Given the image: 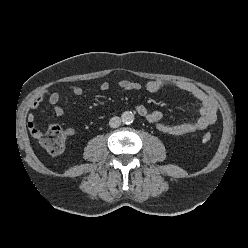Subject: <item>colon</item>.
Returning <instances> with one entry per match:
<instances>
[{"label":"colon","instance_id":"colon-1","mask_svg":"<svg viewBox=\"0 0 248 248\" xmlns=\"http://www.w3.org/2000/svg\"><path fill=\"white\" fill-rule=\"evenodd\" d=\"M38 139L50 154L57 155L64 150L66 141L65 133L57 124H50L45 131H40ZM210 140L211 134L205 133L203 135V141L208 142Z\"/></svg>","mask_w":248,"mask_h":248}]
</instances>
